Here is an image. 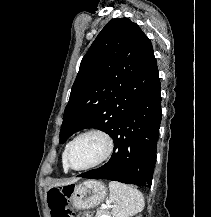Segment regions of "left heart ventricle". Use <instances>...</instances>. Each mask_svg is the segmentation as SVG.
Listing matches in <instances>:
<instances>
[{"label":"left heart ventricle","mask_w":211,"mask_h":217,"mask_svg":"<svg viewBox=\"0 0 211 217\" xmlns=\"http://www.w3.org/2000/svg\"><path fill=\"white\" fill-rule=\"evenodd\" d=\"M106 151L105 140L97 134L79 138L71 148L70 162L76 167H84L99 160Z\"/></svg>","instance_id":"left-heart-ventricle-1"}]
</instances>
